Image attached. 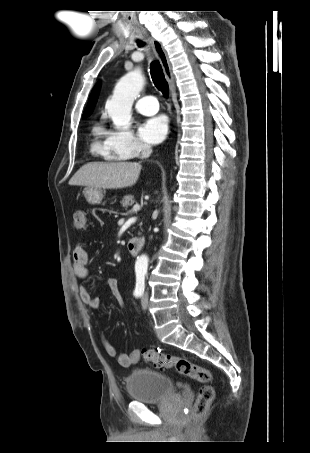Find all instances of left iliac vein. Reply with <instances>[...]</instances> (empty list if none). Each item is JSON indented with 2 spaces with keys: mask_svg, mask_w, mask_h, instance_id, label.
Here are the masks:
<instances>
[{
  "mask_svg": "<svg viewBox=\"0 0 310 453\" xmlns=\"http://www.w3.org/2000/svg\"><path fill=\"white\" fill-rule=\"evenodd\" d=\"M148 299H149V294L147 291H145L141 297V305L143 309H146L148 307Z\"/></svg>",
  "mask_w": 310,
  "mask_h": 453,
  "instance_id": "left-iliac-vein-1",
  "label": "left iliac vein"
}]
</instances>
